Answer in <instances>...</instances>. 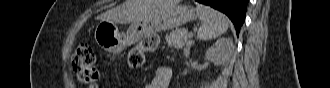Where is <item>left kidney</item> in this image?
I'll list each match as a JSON object with an SVG mask.
<instances>
[{
	"mask_svg": "<svg viewBox=\"0 0 330 88\" xmlns=\"http://www.w3.org/2000/svg\"><path fill=\"white\" fill-rule=\"evenodd\" d=\"M234 45L230 38L217 40L206 52L205 58L215 65H226L232 57Z\"/></svg>",
	"mask_w": 330,
	"mask_h": 88,
	"instance_id": "1",
	"label": "left kidney"
}]
</instances>
